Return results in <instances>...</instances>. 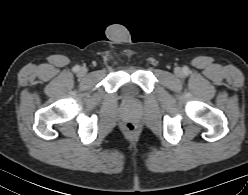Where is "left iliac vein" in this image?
I'll return each mask as SVG.
<instances>
[{"instance_id":"1","label":"left iliac vein","mask_w":248,"mask_h":195,"mask_svg":"<svg viewBox=\"0 0 248 195\" xmlns=\"http://www.w3.org/2000/svg\"><path fill=\"white\" fill-rule=\"evenodd\" d=\"M176 74H177V75H181L180 69H177V70H176Z\"/></svg>"}]
</instances>
